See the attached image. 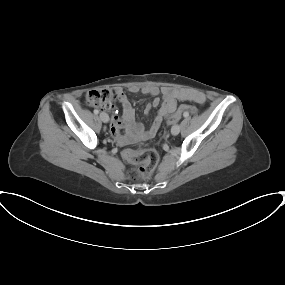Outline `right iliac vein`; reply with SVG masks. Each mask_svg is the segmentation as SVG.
I'll use <instances>...</instances> for the list:
<instances>
[{"label": "right iliac vein", "instance_id": "63e3f726", "mask_svg": "<svg viewBox=\"0 0 285 285\" xmlns=\"http://www.w3.org/2000/svg\"><path fill=\"white\" fill-rule=\"evenodd\" d=\"M100 119L104 122V123H107L109 121V116L107 113L105 112H102L100 113Z\"/></svg>", "mask_w": 285, "mask_h": 285}]
</instances>
